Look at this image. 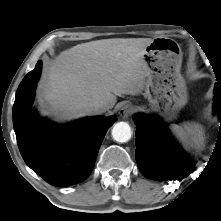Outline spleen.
<instances>
[{"label":"spleen","instance_id":"obj_1","mask_svg":"<svg viewBox=\"0 0 221 221\" xmlns=\"http://www.w3.org/2000/svg\"><path fill=\"white\" fill-rule=\"evenodd\" d=\"M173 134L188 148L200 149L204 145L203 127L196 122H183L170 126Z\"/></svg>","mask_w":221,"mask_h":221}]
</instances>
